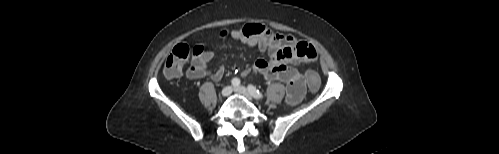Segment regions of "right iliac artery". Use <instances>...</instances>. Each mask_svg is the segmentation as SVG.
<instances>
[{"instance_id": "obj_1", "label": "right iliac artery", "mask_w": 499, "mask_h": 154, "mask_svg": "<svg viewBox=\"0 0 499 154\" xmlns=\"http://www.w3.org/2000/svg\"><path fill=\"white\" fill-rule=\"evenodd\" d=\"M231 82H232V85L234 87H237V86L240 85V79L239 78H233Z\"/></svg>"}]
</instances>
